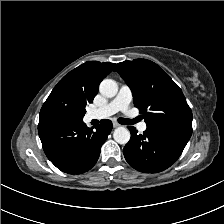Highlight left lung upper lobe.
Here are the masks:
<instances>
[{
    "mask_svg": "<svg viewBox=\"0 0 224 224\" xmlns=\"http://www.w3.org/2000/svg\"><path fill=\"white\" fill-rule=\"evenodd\" d=\"M130 87L135 107L147 126H171L192 130V112L181 89L156 63L135 59L114 69Z\"/></svg>",
    "mask_w": 224,
    "mask_h": 224,
    "instance_id": "left-lung-upper-lobe-1",
    "label": "left lung upper lobe"
}]
</instances>
